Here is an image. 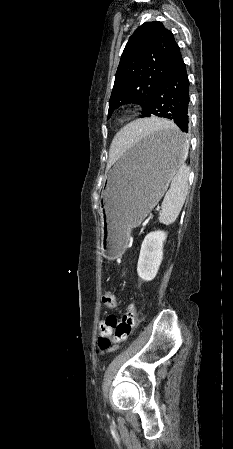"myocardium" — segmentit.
I'll return each mask as SVG.
<instances>
[{
    "label": "myocardium",
    "mask_w": 233,
    "mask_h": 449,
    "mask_svg": "<svg viewBox=\"0 0 233 449\" xmlns=\"http://www.w3.org/2000/svg\"><path fill=\"white\" fill-rule=\"evenodd\" d=\"M129 111H122L120 112L117 117H116V121L117 122H122L123 120H125V118L127 117Z\"/></svg>",
    "instance_id": "myocardium-1"
}]
</instances>
